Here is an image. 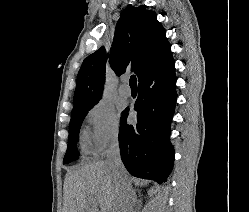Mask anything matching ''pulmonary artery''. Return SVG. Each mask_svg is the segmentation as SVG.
<instances>
[{"mask_svg":"<svg viewBox=\"0 0 249 212\" xmlns=\"http://www.w3.org/2000/svg\"><path fill=\"white\" fill-rule=\"evenodd\" d=\"M129 79H130L129 75H123L121 78L122 84L119 87V94L123 98H128L131 95Z\"/></svg>","mask_w":249,"mask_h":212,"instance_id":"e3ab8cb5","label":"pulmonary artery"}]
</instances>
